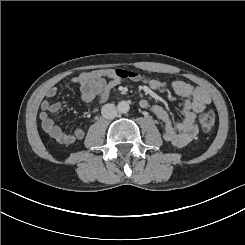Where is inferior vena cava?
Returning a JSON list of instances; mask_svg holds the SVG:
<instances>
[{"instance_id": "inferior-vena-cava-1", "label": "inferior vena cava", "mask_w": 245, "mask_h": 245, "mask_svg": "<svg viewBox=\"0 0 245 245\" xmlns=\"http://www.w3.org/2000/svg\"><path fill=\"white\" fill-rule=\"evenodd\" d=\"M102 116L106 119H113L117 115V108L113 104H105L101 110Z\"/></svg>"}]
</instances>
